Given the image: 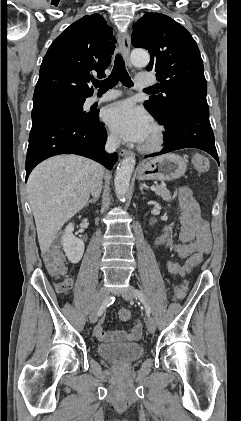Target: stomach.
Here are the masks:
<instances>
[{"instance_id": "obj_1", "label": "stomach", "mask_w": 241, "mask_h": 421, "mask_svg": "<svg viewBox=\"0 0 241 421\" xmlns=\"http://www.w3.org/2000/svg\"><path fill=\"white\" fill-rule=\"evenodd\" d=\"M186 167L184 158L170 153L143 162L137 169V176L140 180H174L185 173Z\"/></svg>"}]
</instances>
